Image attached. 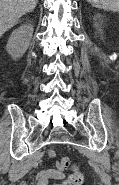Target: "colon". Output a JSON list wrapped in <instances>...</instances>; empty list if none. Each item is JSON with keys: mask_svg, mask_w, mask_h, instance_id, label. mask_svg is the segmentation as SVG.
<instances>
[{"mask_svg": "<svg viewBox=\"0 0 119 185\" xmlns=\"http://www.w3.org/2000/svg\"><path fill=\"white\" fill-rule=\"evenodd\" d=\"M59 165L62 168H70L72 172L63 180L59 185H81L83 182V175L77 168V166L71 163V160L67 156H62L58 160Z\"/></svg>", "mask_w": 119, "mask_h": 185, "instance_id": "obj_1", "label": "colon"}]
</instances>
